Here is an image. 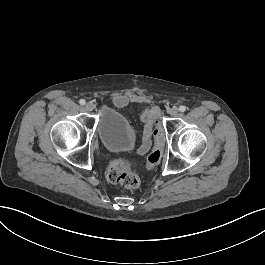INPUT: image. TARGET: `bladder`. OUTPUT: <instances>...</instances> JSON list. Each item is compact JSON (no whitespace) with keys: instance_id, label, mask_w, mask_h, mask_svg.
<instances>
[{"instance_id":"31cf9c89","label":"bladder","mask_w":265,"mask_h":265,"mask_svg":"<svg viewBox=\"0 0 265 265\" xmlns=\"http://www.w3.org/2000/svg\"><path fill=\"white\" fill-rule=\"evenodd\" d=\"M97 134L104 147L113 152L129 150L135 141L130 123L123 114L113 108H104L101 111Z\"/></svg>"}]
</instances>
